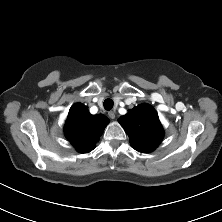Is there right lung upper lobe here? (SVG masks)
Listing matches in <instances>:
<instances>
[{
  "label": "right lung upper lobe",
  "instance_id": "obj_1",
  "mask_svg": "<svg viewBox=\"0 0 222 222\" xmlns=\"http://www.w3.org/2000/svg\"><path fill=\"white\" fill-rule=\"evenodd\" d=\"M109 119L104 115H91L88 107L76 103L68 113L65 123V136L80 153L94 149Z\"/></svg>",
  "mask_w": 222,
  "mask_h": 222
}]
</instances>
